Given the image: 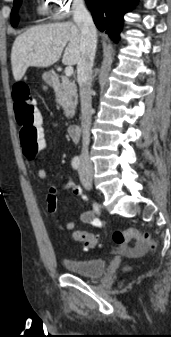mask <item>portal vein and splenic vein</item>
<instances>
[{"mask_svg":"<svg viewBox=\"0 0 171 337\" xmlns=\"http://www.w3.org/2000/svg\"><path fill=\"white\" fill-rule=\"evenodd\" d=\"M73 74V67L71 65L65 68V76L70 77Z\"/></svg>","mask_w":171,"mask_h":337,"instance_id":"18ae733b","label":"portal vein and splenic vein"}]
</instances>
